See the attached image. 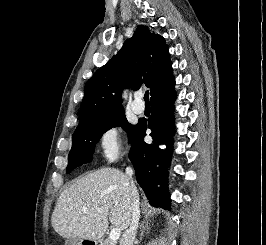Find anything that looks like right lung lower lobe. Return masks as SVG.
I'll list each match as a JSON object with an SVG mask.
<instances>
[{
  "mask_svg": "<svg viewBox=\"0 0 266 245\" xmlns=\"http://www.w3.org/2000/svg\"><path fill=\"white\" fill-rule=\"evenodd\" d=\"M175 81L163 91L151 97L152 114L147 120H139L135 125L131 142L129 158L135 168L136 180L144 190L151 205L170 209V196L167 189V166L171 159L173 134L172 104L176 98ZM152 130V144L144 142L146 129ZM167 143L165 152L158 147ZM156 164L161 165L156 167ZM160 184V187H156Z\"/></svg>",
  "mask_w": 266,
  "mask_h": 245,
  "instance_id": "right-lung-lower-lobe-1",
  "label": "right lung lower lobe"
}]
</instances>
